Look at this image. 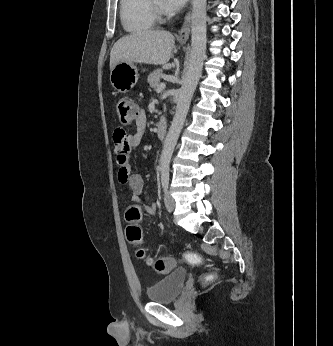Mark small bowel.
<instances>
[{
    "mask_svg": "<svg viewBox=\"0 0 333 346\" xmlns=\"http://www.w3.org/2000/svg\"><path fill=\"white\" fill-rule=\"evenodd\" d=\"M147 117L145 112L140 109L135 120L136 132L131 133L122 128H116L113 132V141L116 151V162L118 165V180L132 193L134 204L142 201L144 182L142 177L132 171L129 163V152L140 145L142 136L146 130ZM145 210L150 215L157 213V205L150 203L145 205Z\"/></svg>",
    "mask_w": 333,
    "mask_h": 346,
    "instance_id": "obj_1",
    "label": "small bowel"
}]
</instances>
